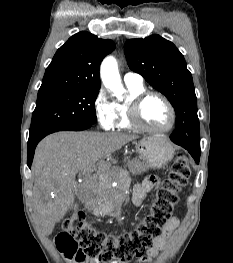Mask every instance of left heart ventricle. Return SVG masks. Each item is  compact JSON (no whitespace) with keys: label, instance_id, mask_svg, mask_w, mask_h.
I'll return each instance as SVG.
<instances>
[{"label":"left heart ventricle","instance_id":"obj_1","mask_svg":"<svg viewBox=\"0 0 233 263\" xmlns=\"http://www.w3.org/2000/svg\"><path fill=\"white\" fill-rule=\"evenodd\" d=\"M141 116L144 123L152 128H163L170 122L167 106L155 96L146 99L141 109Z\"/></svg>","mask_w":233,"mask_h":263}]
</instances>
